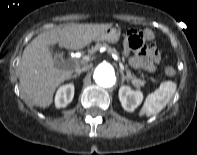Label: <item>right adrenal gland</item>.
<instances>
[{"mask_svg": "<svg viewBox=\"0 0 197 155\" xmlns=\"http://www.w3.org/2000/svg\"><path fill=\"white\" fill-rule=\"evenodd\" d=\"M79 76V74H74L71 76V78H77Z\"/></svg>", "mask_w": 197, "mask_h": 155, "instance_id": "obj_1", "label": "right adrenal gland"}]
</instances>
